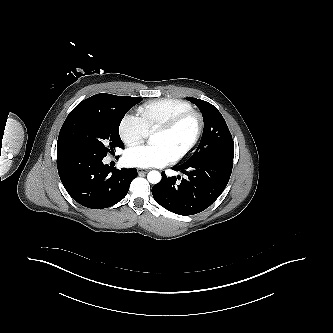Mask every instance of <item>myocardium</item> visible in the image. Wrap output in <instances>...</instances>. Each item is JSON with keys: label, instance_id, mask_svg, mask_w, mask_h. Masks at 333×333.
<instances>
[{"label": "myocardium", "instance_id": "myocardium-1", "mask_svg": "<svg viewBox=\"0 0 333 333\" xmlns=\"http://www.w3.org/2000/svg\"><path fill=\"white\" fill-rule=\"evenodd\" d=\"M194 119L196 122V128H195V133L194 136L191 140V142L185 147L182 151L177 153L175 156L172 157V162H178L188 156L198 145L202 134H203V129H204V120L203 116L201 115L200 112L196 110H188L186 112H183L181 114H178L177 116L171 118L167 122L163 123L159 127L155 129V132H164L168 133L176 129L180 124H182L184 121L188 119Z\"/></svg>", "mask_w": 333, "mask_h": 333}]
</instances>
